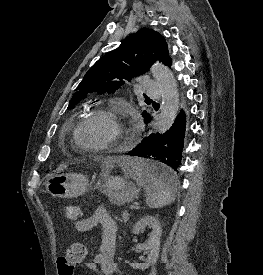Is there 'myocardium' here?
<instances>
[{"instance_id": "1", "label": "myocardium", "mask_w": 263, "mask_h": 275, "mask_svg": "<svg viewBox=\"0 0 263 275\" xmlns=\"http://www.w3.org/2000/svg\"><path fill=\"white\" fill-rule=\"evenodd\" d=\"M96 117H103L108 119L115 128V135L110 141L103 144L95 145L84 143L80 137L81 129L85 124ZM129 138V128L121 120V118L113 110L102 107L95 108L85 114L82 118L79 119L73 130V142L75 146L81 151L87 153H105L118 151L126 146Z\"/></svg>"}]
</instances>
